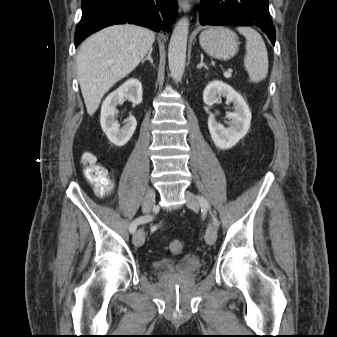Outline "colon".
I'll return each instance as SVG.
<instances>
[{
    "mask_svg": "<svg viewBox=\"0 0 337 337\" xmlns=\"http://www.w3.org/2000/svg\"><path fill=\"white\" fill-rule=\"evenodd\" d=\"M84 176L92 184L95 193L99 197L108 195L113 187L112 181L105 169L96 161L95 155L91 152H84L81 158ZM184 248L183 241L173 239L168 242V249L171 253L178 254Z\"/></svg>",
    "mask_w": 337,
    "mask_h": 337,
    "instance_id": "1",
    "label": "colon"
}]
</instances>
